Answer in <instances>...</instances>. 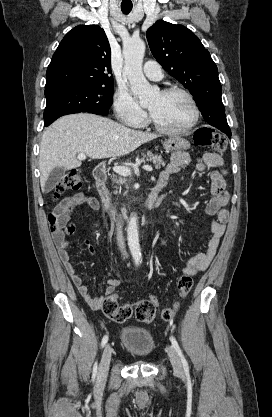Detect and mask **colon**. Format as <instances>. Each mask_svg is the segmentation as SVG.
<instances>
[{
	"label": "colon",
	"instance_id": "1",
	"mask_svg": "<svg viewBox=\"0 0 272 417\" xmlns=\"http://www.w3.org/2000/svg\"><path fill=\"white\" fill-rule=\"evenodd\" d=\"M194 143L200 147L210 148L217 154H222L226 149V139L210 127H200L197 129L194 134ZM82 184L81 173L76 170L71 171L59 180L53 197L57 199L61 193L69 190H77ZM48 220L50 230L53 233L59 231L70 233L74 230V227L70 224L67 226L60 225L57 214L55 213H51ZM192 286V277L185 274L181 275L177 281V294L179 298L186 297L190 293ZM159 304L158 298L151 295L149 298L139 300L135 304L120 305L117 294H112L104 299L102 311L109 319L117 323H123L132 315H135L138 321L147 324L154 319L156 308L159 307ZM177 307L178 305L174 304L172 307L162 309L161 318L164 321L172 320L175 317Z\"/></svg>",
	"mask_w": 272,
	"mask_h": 417
}]
</instances>
